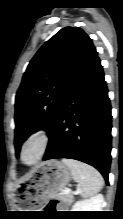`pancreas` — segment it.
I'll use <instances>...</instances> for the list:
<instances>
[{"mask_svg":"<svg viewBox=\"0 0 123 219\" xmlns=\"http://www.w3.org/2000/svg\"><path fill=\"white\" fill-rule=\"evenodd\" d=\"M56 197L61 201L67 202L68 204H71L73 202L72 194L59 193Z\"/></svg>","mask_w":123,"mask_h":219,"instance_id":"cf45deb5","label":"pancreas"}]
</instances>
